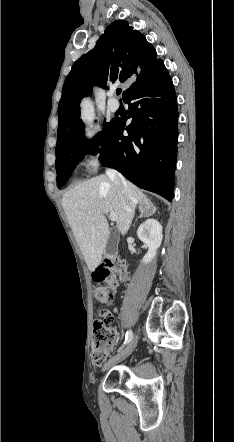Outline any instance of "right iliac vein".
<instances>
[{"mask_svg":"<svg viewBox=\"0 0 234 442\" xmlns=\"http://www.w3.org/2000/svg\"><path fill=\"white\" fill-rule=\"evenodd\" d=\"M137 343V338L134 337L132 340L123 348L119 353H117L113 358H111L104 366L103 371L109 369L112 365L127 358L134 350Z\"/></svg>","mask_w":234,"mask_h":442,"instance_id":"63e3f726","label":"right iliac vein"}]
</instances>
